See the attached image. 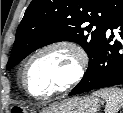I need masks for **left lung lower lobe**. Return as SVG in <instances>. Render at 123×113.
<instances>
[{"instance_id": "left-lung-lower-lobe-1", "label": "left lung lower lobe", "mask_w": 123, "mask_h": 113, "mask_svg": "<svg viewBox=\"0 0 123 113\" xmlns=\"http://www.w3.org/2000/svg\"><path fill=\"white\" fill-rule=\"evenodd\" d=\"M108 29L119 31V41L111 43L114 34L111 31L107 36ZM105 30V37L93 54L87 72L69 95L123 84V0L110 1Z\"/></svg>"}]
</instances>
